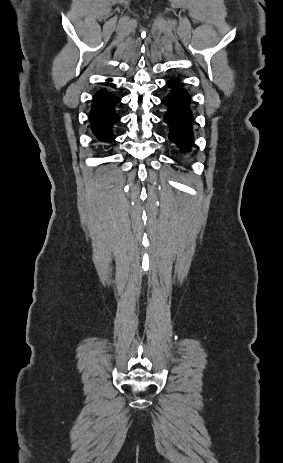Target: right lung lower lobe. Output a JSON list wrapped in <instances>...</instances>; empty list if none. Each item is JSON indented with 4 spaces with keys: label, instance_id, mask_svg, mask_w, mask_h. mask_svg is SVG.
<instances>
[{
    "label": "right lung lower lobe",
    "instance_id": "obj_1",
    "mask_svg": "<svg viewBox=\"0 0 283 463\" xmlns=\"http://www.w3.org/2000/svg\"><path fill=\"white\" fill-rule=\"evenodd\" d=\"M118 102L120 98L107 91H98L94 96L90 120L92 130L100 140L110 141L115 138L111 128L120 119L114 111Z\"/></svg>",
    "mask_w": 283,
    "mask_h": 463
}]
</instances>
